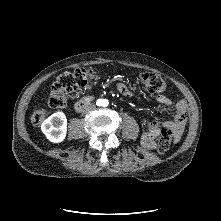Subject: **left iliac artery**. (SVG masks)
Returning <instances> with one entry per match:
<instances>
[{
  "label": "left iliac artery",
  "instance_id": "obj_1",
  "mask_svg": "<svg viewBox=\"0 0 221 221\" xmlns=\"http://www.w3.org/2000/svg\"><path fill=\"white\" fill-rule=\"evenodd\" d=\"M104 104H105V105H108V101H107V100H105V101H104Z\"/></svg>",
  "mask_w": 221,
  "mask_h": 221
}]
</instances>
